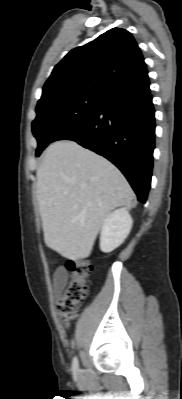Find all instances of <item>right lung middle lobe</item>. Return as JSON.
<instances>
[{
    "mask_svg": "<svg viewBox=\"0 0 182 399\" xmlns=\"http://www.w3.org/2000/svg\"><path fill=\"white\" fill-rule=\"evenodd\" d=\"M104 96L75 94L38 102L37 117L32 132L38 141L36 156L52 142L55 135L94 114L102 105Z\"/></svg>",
    "mask_w": 182,
    "mask_h": 399,
    "instance_id": "dd1d6c3e",
    "label": "right lung middle lobe"
}]
</instances>
